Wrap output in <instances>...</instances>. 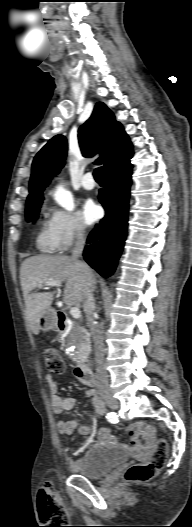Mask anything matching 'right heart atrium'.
Wrapping results in <instances>:
<instances>
[{"mask_svg": "<svg viewBox=\"0 0 192 527\" xmlns=\"http://www.w3.org/2000/svg\"><path fill=\"white\" fill-rule=\"evenodd\" d=\"M47 223L58 250L67 249L84 234V226L78 215L57 207L48 210Z\"/></svg>", "mask_w": 192, "mask_h": 527, "instance_id": "1", "label": "right heart atrium"}]
</instances>
